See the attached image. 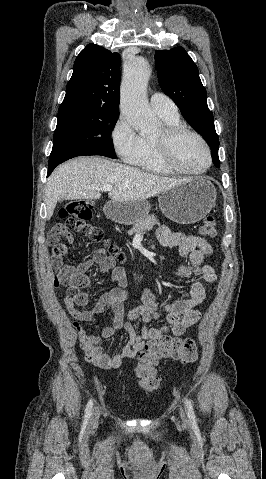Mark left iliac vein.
<instances>
[{
  "instance_id": "obj_1",
  "label": "left iliac vein",
  "mask_w": 266,
  "mask_h": 479,
  "mask_svg": "<svg viewBox=\"0 0 266 479\" xmlns=\"http://www.w3.org/2000/svg\"><path fill=\"white\" fill-rule=\"evenodd\" d=\"M180 416H181V419L183 421V423H187V418H186V415H185V412L183 410V408H180Z\"/></svg>"
}]
</instances>
